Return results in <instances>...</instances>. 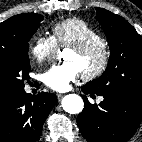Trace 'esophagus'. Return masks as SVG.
Instances as JSON below:
<instances>
[{"mask_svg": "<svg viewBox=\"0 0 142 142\" xmlns=\"http://www.w3.org/2000/svg\"><path fill=\"white\" fill-rule=\"evenodd\" d=\"M57 97L59 100H61L63 98V94H57Z\"/></svg>", "mask_w": 142, "mask_h": 142, "instance_id": "1", "label": "esophagus"}]
</instances>
